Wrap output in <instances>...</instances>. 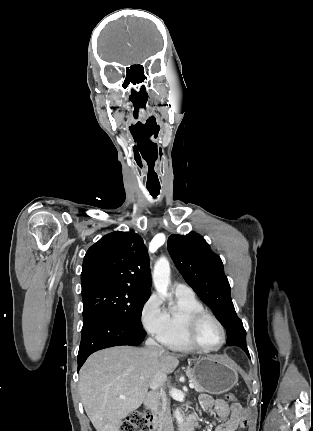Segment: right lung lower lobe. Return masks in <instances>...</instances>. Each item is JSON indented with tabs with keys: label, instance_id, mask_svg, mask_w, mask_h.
I'll list each match as a JSON object with an SVG mask.
<instances>
[{
	"label": "right lung lower lobe",
	"instance_id": "1",
	"mask_svg": "<svg viewBox=\"0 0 313 431\" xmlns=\"http://www.w3.org/2000/svg\"><path fill=\"white\" fill-rule=\"evenodd\" d=\"M146 336L122 320L107 314H96L83 321L78 352V371L88 356L95 351L120 345L138 346Z\"/></svg>",
	"mask_w": 313,
	"mask_h": 431
}]
</instances>
